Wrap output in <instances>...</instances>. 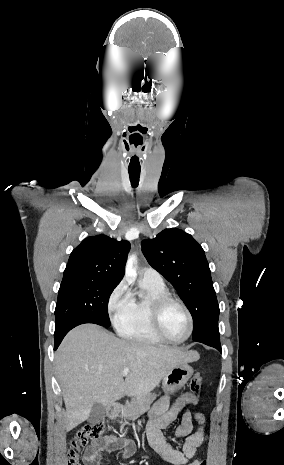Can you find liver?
I'll list each match as a JSON object with an SVG mask.
<instances>
[{"instance_id":"1","label":"liver","mask_w":284,"mask_h":465,"mask_svg":"<svg viewBox=\"0 0 284 465\" xmlns=\"http://www.w3.org/2000/svg\"><path fill=\"white\" fill-rule=\"evenodd\" d=\"M200 359L197 351L153 347L117 339L98 325H80L66 335L55 355L66 407V431L88 419L92 407H110L122 397L150 393L170 369ZM128 367L130 373L123 377Z\"/></svg>"}]
</instances>
